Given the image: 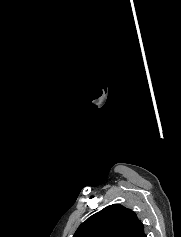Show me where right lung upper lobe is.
<instances>
[{"mask_svg":"<svg viewBox=\"0 0 181 237\" xmlns=\"http://www.w3.org/2000/svg\"><path fill=\"white\" fill-rule=\"evenodd\" d=\"M73 237H146L136 213L120 204H113L89 217Z\"/></svg>","mask_w":181,"mask_h":237,"instance_id":"right-lung-upper-lobe-1","label":"right lung upper lobe"}]
</instances>
